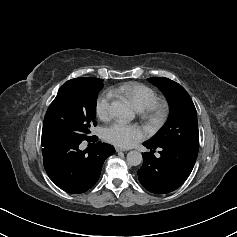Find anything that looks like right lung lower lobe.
Here are the masks:
<instances>
[{"label":"right lung lower lobe","instance_id":"obj_1","mask_svg":"<svg viewBox=\"0 0 237 237\" xmlns=\"http://www.w3.org/2000/svg\"><path fill=\"white\" fill-rule=\"evenodd\" d=\"M92 136L88 142L96 141ZM81 140L52 131L42 132V152L49 178L62 190L79 194L97 182L105 159L115 152L113 146L98 142L94 148L79 150Z\"/></svg>","mask_w":237,"mask_h":237}]
</instances>
